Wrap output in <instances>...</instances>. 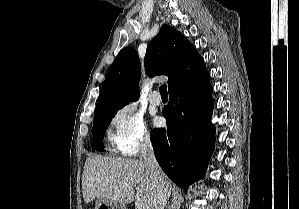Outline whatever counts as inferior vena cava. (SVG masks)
<instances>
[{"label": "inferior vena cava", "mask_w": 299, "mask_h": 209, "mask_svg": "<svg viewBox=\"0 0 299 209\" xmlns=\"http://www.w3.org/2000/svg\"><path fill=\"white\" fill-rule=\"evenodd\" d=\"M140 160L149 171L157 189V199L153 204V209H164L167 204L165 174L156 161L154 150L149 138H145L141 142Z\"/></svg>", "instance_id": "1"}]
</instances>
